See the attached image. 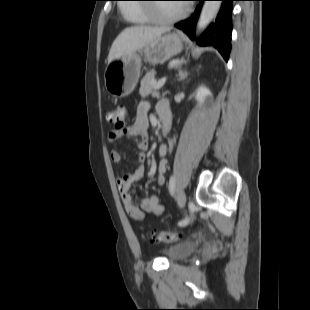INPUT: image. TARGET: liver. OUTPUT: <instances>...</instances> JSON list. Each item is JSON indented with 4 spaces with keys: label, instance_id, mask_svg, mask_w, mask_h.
Instances as JSON below:
<instances>
[{
    "label": "liver",
    "instance_id": "liver-1",
    "mask_svg": "<svg viewBox=\"0 0 310 310\" xmlns=\"http://www.w3.org/2000/svg\"><path fill=\"white\" fill-rule=\"evenodd\" d=\"M169 27L134 26L124 29L112 43L108 63L115 58H126L142 49L155 38L169 32Z\"/></svg>",
    "mask_w": 310,
    "mask_h": 310
}]
</instances>
